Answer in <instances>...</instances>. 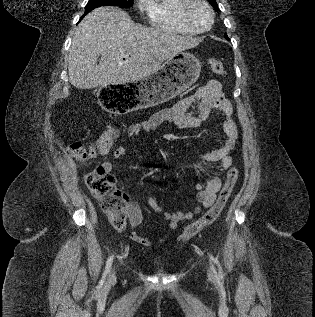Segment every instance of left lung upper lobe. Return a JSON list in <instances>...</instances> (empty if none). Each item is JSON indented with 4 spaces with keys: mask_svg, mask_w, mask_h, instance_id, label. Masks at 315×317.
Masks as SVG:
<instances>
[{
    "mask_svg": "<svg viewBox=\"0 0 315 317\" xmlns=\"http://www.w3.org/2000/svg\"><path fill=\"white\" fill-rule=\"evenodd\" d=\"M209 1V3L215 8V10L216 11H218V5H217V3H216V0H208ZM225 35H227V34H225ZM224 35V36H225ZM228 37V36H227ZM229 39V38H228Z\"/></svg>",
    "mask_w": 315,
    "mask_h": 317,
    "instance_id": "left-lung-upper-lobe-1",
    "label": "left lung upper lobe"
}]
</instances>
